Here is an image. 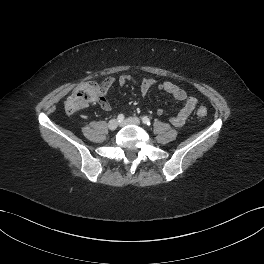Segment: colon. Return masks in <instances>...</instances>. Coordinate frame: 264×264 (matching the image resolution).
I'll return each mask as SVG.
<instances>
[{
    "label": "colon",
    "mask_w": 264,
    "mask_h": 264,
    "mask_svg": "<svg viewBox=\"0 0 264 264\" xmlns=\"http://www.w3.org/2000/svg\"><path fill=\"white\" fill-rule=\"evenodd\" d=\"M98 94L99 86L97 83L88 81L80 84L75 88V90L65 103V109L67 113H75L79 109L95 102L97 100ZM197 115L199 117H205L207 115L206 108H199L197 111Z\"/></svg>",
    "instance_id": "obj_1"
}]
</instances>
